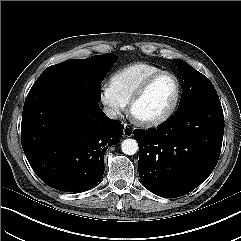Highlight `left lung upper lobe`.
<instances>
[{"instance_id":"obj_1","label":"left lung upper lobe","mask_w":241,"mask_h":241,"mask_svg":"<svg viewBox=\"0 0 241 241\" xmlns=\"http://www.w3.org/2000/svg\"><path fill=\"white\" fill-rule=\"evenodd\" d=\"M175 64L184 80L178 109L200 103L221 105L216 89L206 76L181 60H175Z\"/></svg>"}]
</instances>
